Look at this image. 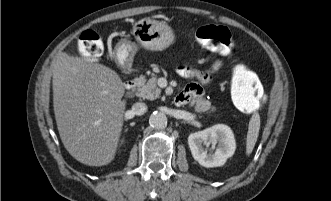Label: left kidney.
<instances>
[{"instance_id": "5707ae66", "label": "left kidney", "mask_w": 331, "mask_h": 201, "mask_svg": "<svg viewBox=\"0 0 331 201\" xmlns=\"http://www.w3.org/2000/svg\"><path fill=\"white\" fill-rule=\"evenodd\" d=\"M188 144L193 158L207 168L224 165L236 149L234 134L231 128L224 124H216L190 134ZM209 145L212 146L211 149L208 148Z\"/></svg>"}]
</instances>
